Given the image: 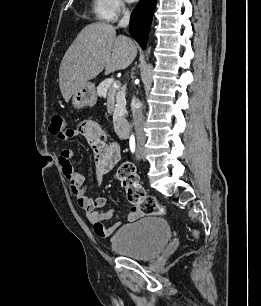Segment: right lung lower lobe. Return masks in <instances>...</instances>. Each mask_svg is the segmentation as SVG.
<instances>
[{
  "mask_svg": "<svg viewBox=\"0 0 261 306\" xmlns=\"http://www.w3.org/2000/svg\"><path fill=\"white\" fill-rule=\"evenodd\" d=\"M156 0H140L130 18V34L145 49Z\"/></svg>",
  "mask_w": 261,
  "mask_h": 306,
  "instance_id": "1",
  "label": "right lung lower lobe"
}]
</instances>
